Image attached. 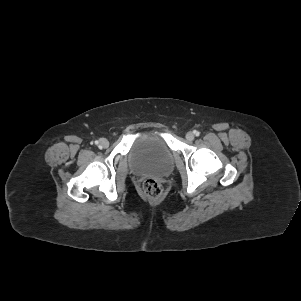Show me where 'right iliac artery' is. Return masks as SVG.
<instances>
[{"mask_svg":"<svg viewBox=\"0 0 301 301\" xmlns=\"http://www.w3.org/2000/svg\"><path fill=\"white\" fill-rule=\"evenodd\" d=\"M95 144H96V145L99 144V141H95Z\"/></svg>","mask_w":301,"mask_h":301,"instance_id":"right-iliac-artery-1","label":"right iliac artery"}]
</instances>
